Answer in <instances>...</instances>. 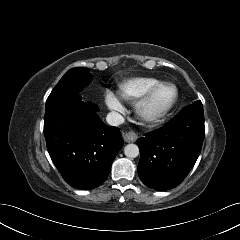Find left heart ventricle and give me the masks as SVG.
Returning a JSON list of instances; mask_svg holds the SVG:
<instances>
[{
  "label": "left heart ventricle",
  "mask_w": 240,
  "mask_h": 240,
  "mask_svg": "<svg viewBox=\"0 0 240 240\" xmlns=\"http://www.w3.org/2000/svg\"><path fill=\"white\" fill-rule=\"evenodd\" d=\"M175 95V90L172 87H165L160 89L152 98L149 104L151 112H158L163 110L172 101Z\"/></svg>",
  "instance_id": "obj_1"
}]
</instances>
